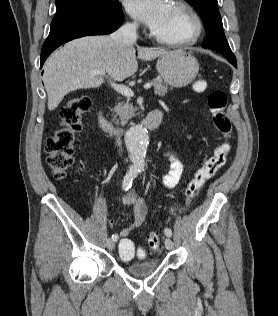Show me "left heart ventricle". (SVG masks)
Instances as JSON below:
<instances>
[{"label":"left heart ventricle","instance_id":"left-heart-ventricle-1","mask_svg":"<svg viewBox=\"0 0 278 316\" xmlns=\"http://www.w3.org/2000/svg\"><path fill=\"white\" fill-rule=\"evenodd\" d=\"M192 32V22L188 15L180 9L170 5L168 13L155 34L168 39H183Z\"/></svg>","mask_w":278,"mask_h":316}]
</instances>
